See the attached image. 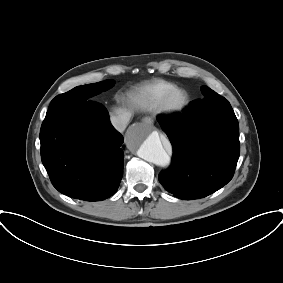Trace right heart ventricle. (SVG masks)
Returning <instances> with one entry per match:
<instances>
[{
    "mask_svg": "<svg viewBox=\"0 0 283 283\" xmlns=\"http://www.w3.org/2000/svg\"><path fill=\"white\" fill-rule=\"evenodd\" d=\"M176 88V86L162 79H155L145 85L136 95L135 100L144 108L151 109L155 107L161 97Z\"/></svg>",
    "mask_w": 283,
    "mask_h": 283,
    "instance_id": "right-heart-ventricle-1",
    "label": "right heart ventricle"
}]
</instances>
